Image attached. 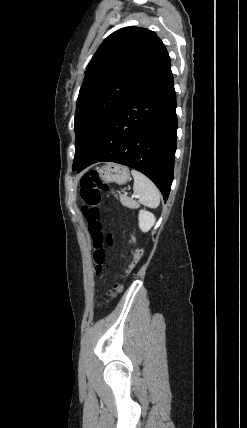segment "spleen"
Returning <instances> with one entry per match:
<instances>
[{
	"label": "spleen",
	"mask_w": 247,
	"mask_h": 428,
	"mask_svg": "<svg viewBox=\"0 0 247 428\" xmlns=\"http://www.w3.org/2000/svg\"><path fill=\"white\" fill-rule=\"evenodd\" d=\"M134 192L139 202L147 207L156 208L160 203V192L155 184L142 173L132 170Z\"/></svg>",
	"instance_id": "3e777b00"
}]
</instances>
